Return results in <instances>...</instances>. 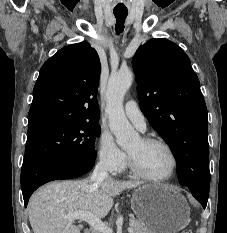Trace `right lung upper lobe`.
Listing matches in <instances>:
<instances>
[{"mask_svg":"<svg viewBox=\"0 0 227 233\" xmlns=\"http://www.w3.org/2000/svg\"><path fill=\"white\" fill-rule=\"evenodd\" d=\"M101 65L89 43L59 50L40 70L33 89L28 134L76 121H98Z\"/></svg>","mask_w":227,"mask_h":233,"instance_id":"right-lung-upper-lobe-1","label":"right lung upper lobe"}]
</instances>
